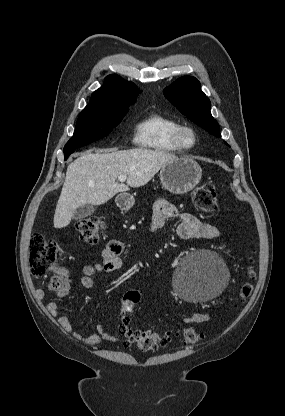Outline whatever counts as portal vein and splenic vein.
<instances>
[{
	"label": "portal vein and splenic vein",
	"mask_w": 285,
	"mask_h": 416,
	"mask_svg": "<svg viewBox=\"0 0 285 416\" xmlns=\"http://www.w3.org/2000/svg\"><path fill=\"white\" fill-rule=\"evenodd\" d=\"M119 182H126L127 176H118Z\"/></svg>",
	"instance_id": "18ae733b"
}]
</instances>
